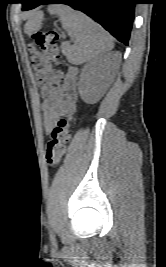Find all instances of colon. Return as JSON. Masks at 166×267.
Returning <instances> with one entry per match:
<instances>
[{"mask_svg": "<svg viewBox=\"0 0 166 267\" xmlns=\"http://www.w3.org/2000/svg\"><path fill=\"white\" fill-rule=\"evenodd\" d=\"M62 33L57 30L36 32L29 43L31 64L36 72L42 95L49 98L54 92L61 73L52 69L53 64L60 62L58 41ZM71 138V124L63 116L51 132L46 147V162L49 166L57 165L65 155L67 144Z\"/></svg>", "mask_w": 166, "mask_h": 267, "instance_id": "obj_1", "label": "colon"}]
</instances>
